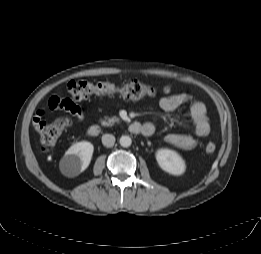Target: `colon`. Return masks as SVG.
I'll use <instances>...</instances> for the list:
<instances>
[{
  "label": "colon",
  "mask_w": 261,
  "mask_h": 254,
  "mask_svg": "<svg viewBox=\"0 0 261 254\" xmlns=\"http://www.w3.org/2000/svg\"><path fill=\"white\" fill-rule=\"evenodd\" d=\"M67 92L69 94L67 99L60 100L57 97H52L49 100V105L56 109L60 103L72 104L74 102L88 99L94 95H119L124 99L137 100L142 98L155 97L158 94V91L155 88L147 86L138 81H132L118 86L110 82L93 83L87 80H76L69 83ZM163 92L168 94L170 90L165 88ZM36 126L39 131L41 141L45 149H47L49 146L53 145L59 136L71 126V120L68 117H61L54 120L50 124H46L40 121ZM205 151L208 154L214 153L216 151V145L212 142L207 143L205 146Z\"/></svg>",
  "instance_id": "5ec220e1"
}]
</instances>
